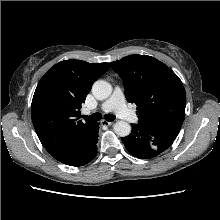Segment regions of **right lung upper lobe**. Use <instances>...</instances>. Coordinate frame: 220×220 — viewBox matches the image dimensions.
Here are the masks:
<instances>
[{
	"label": "right lung upper lobe",
	"instance_id": "obj_1",
	"mask_svg": "<svg viewBox=\"0 0 220 220\" xmlns=\"http://www.w3.org/2000/svg\"><path fill=\"white\" fill-rule=\"evenodd\" d=\"M109 69V63L64 60L52 66L35 90L31 115L35 131L55 159L65 156L95 126L82 122L81 104L92 84Z\"/></svg>",
	"mask_w": 220,
	"mask_h": 220
}]
</instances>
